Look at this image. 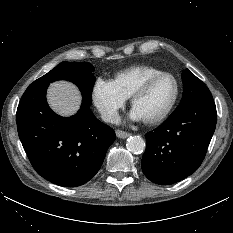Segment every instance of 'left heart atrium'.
<instances>
[{"label":"left heart atrium","instance_id":"left-heart-atrium-1","mask_svg":"<svg viewBox=\"0 0 233 233\" xmlns=\"http://www.w3.org/2000/svg\"><path fill=\"white\" fill-rule=\"evenodd\" d=\"M130 117L133 119V120H140V116L134 111L132 110L131 114H130Z\"/></svg>","mask_w":233,"mask_h":233}]
</instances>
